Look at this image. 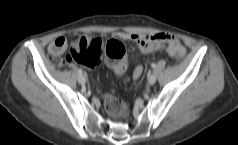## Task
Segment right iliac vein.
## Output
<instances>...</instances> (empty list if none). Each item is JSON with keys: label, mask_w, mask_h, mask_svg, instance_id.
Returning <instances> with one entry per match:
<instances>
[{"label": "right iliac vein", "mask_w": 238, "mask_h": 145, "mask_svg": "<svg viewBox=\"0 0 238 145\" xmlns=\"http://www.w3.org/2000/svg\"><path fill=\"white\" fill-rule=\"evenodd\" d=\"M78 82H79L80 84H85V83H86V78H85V76L82 75V74H80V75L78 76Z\"/></svg>", "instance_id": "1"}]
</instances>
